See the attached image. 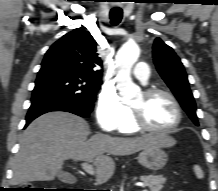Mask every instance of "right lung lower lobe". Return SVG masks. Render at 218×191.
<instances>
[{
  "label": "right lung lower lobe",
  "instance_id": "1",
  "mask_svg": "<svg viewBox=\"0 0 218 191\" xmlns=\"http://www.w3.org/2000/svg\"><path fill=\"white\" fill-rule=\"evenodd\" d=\"M93 106L82 105L56 94H40L31 99V106L26 116L25 127L40 115L50 111H65L81 117H88Z\"/></svg>",
  "mask_w": 218,
  "mask_h": 191
}]
</instances>
